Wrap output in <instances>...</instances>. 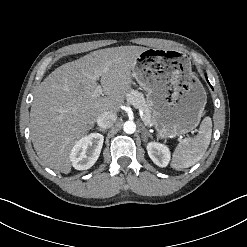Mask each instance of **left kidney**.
<instances>
[{
  "label": "left kidney",
  "mask_w": 247,
  "mask_h": 247,
  "mask_svg": "<svg viewBox=\"0 0 247 247\" xmlns=\"http://www.w3.org/2000/svg\"><path fill=\"white\" fill-rule=\"evenodd\" d=\"M147 152L151 160L159 167H166L170 161V150L164 144L150 142L147 144Z\"/></svg>",
  "instance_id": "1"
}]
</instances>
